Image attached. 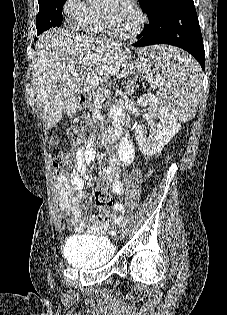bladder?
<instances>
[{
  "mask_svg": "<svg viewBox=\"0 0 227 315\" xmlns=\"http://www.w3.org/2000/svg\"><path fill=\"white\" fill-rule=\"evenodd\" d=\"M63 254L75 267L94 269L112 261L114 246L103 236L77 235L66 242Z\"/></svg>",
  "mask_w": 227,
  "mask_h": 315,
  "instance_id": "1",
  "label": "bladder"
}]
</instances>
